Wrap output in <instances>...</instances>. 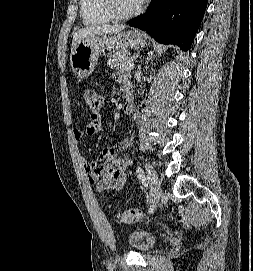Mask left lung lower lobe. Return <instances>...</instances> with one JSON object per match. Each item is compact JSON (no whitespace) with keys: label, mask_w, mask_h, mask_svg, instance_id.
Wrapping results in <instances>:
<instances>
[{"label":"left lung lower lobe","mask_w":253,"mask_h":271,"mask_svg":"<svg viewBox=\"0 0 253 271\" xmlns=\"http://www.w3.org/2000/svg\"><path fill=\"white\" fill-rule=\"evenodd\" d=\"M207 0H152L145 14L129 25L146 31L157 42L187 51L202 21Z\"/></svg>","instance_id":"left-lung-lower-lobe-1"}]
</instances>
